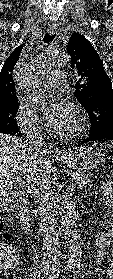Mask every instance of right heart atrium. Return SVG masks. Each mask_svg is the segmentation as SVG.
<instances>
[{
	"label": "right heart atrium",
	"instance_id": "right-heart-atrium-1",
	"mask_svg": "<svg viewBox=\"0 0 113 279\" xmlns=\"http://www.w3.org/2000/svg\"><path fill=\"white\" fill-rule=\"evenodd\" d=\"M19 128L28 138H37L44 134V126L35 111L25 104H20L16 112Z\"/></svg>",
	"mask_w": 113,
	"mask_h": 279
}]
</instances>
